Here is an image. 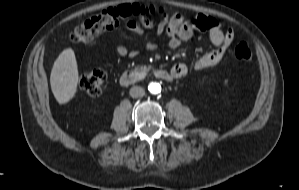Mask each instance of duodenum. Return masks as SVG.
Returning a JSON list of instances; mask_svg holds the SVG:
<instances>
[{
	"label": "duodenum",
	"mask_w": 299,
	"mask_h": 190,
	"mask_svg": "<svg viewBox=\"0 0 299 190\" xmlns=\"http://www.w3.org/2000/svg\"><path fill=\"white\" fill-rule=\"evenodd\" d=\"M152 74L159 79H169L170 73L165 69H156L152 71ZM142 78V74L136 70L128 71L122 76V83L125 85H130L138 82Z\"/></svg>",
	"instance_id": "410a0bca"
}]
</instances>
